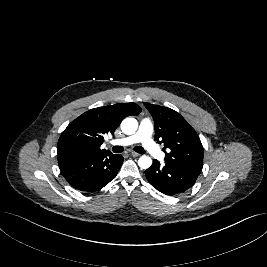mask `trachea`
Listing matches in <instances>:
<instances>
[{"label":"trachea","instance_id":"1","mask_svg":"<svg viewBox=\"0 0 267 267\" xmlns=\"http://www.w3.org/2000/svg\"><path fill=\"white\" fill-rule=\"evenodd\" d=\"M123 150H124V148L121 147V146H114L112 148V151L114 153H121ZM134 151H136L137 153H140V154H144L145 153V150L141 146L134 147Z\"/></svg>","mask_w":267,"mask_h":267}]
</instances>
